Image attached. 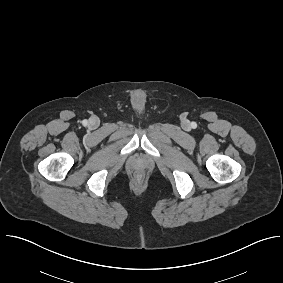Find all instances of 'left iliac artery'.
I'll list each match as a JSON object with an SVG mask.
<instances>
[{
  "mask_svg": "<svg viewBox=\"0 0 283 283\" xmlns=\"http://www.w3.org/2000/svg\"><path fill=\"white\" fill-rule=\"evenodd\" d=\"M196 126H197L196 123L193 122L192 127L195 128Z\"/></svg>",
  "mask_w": 283,
  "mask_h": 283,
  "instance_id": "left-iliac-artery-1",
  "label": "left iliac artery"
}]
</instances>
